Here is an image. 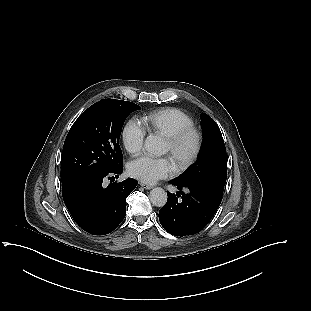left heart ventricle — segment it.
Wrapping results in <instances>:
<instances>
[{
  "mask_svg": "<svg viewBox=\"0 0 311 311\" xmlns=\"http://www.w3.org/2000/svg\"><path fill=\"white\" fill-rule=\"evenodd\" d=\"M192 140L191 138L185 139L177 148L176 155L172 157V160L175 162L176 159L180 156L185 155L191 148ZM163 153H170V148L167 142L164 143Z\"/></svg>",
  "mask_w": 311,
  "mask_h": 311,
  "instance_id": "b2bd125f",
  "label": "left heart ventricle"
}]
</instances>
